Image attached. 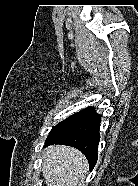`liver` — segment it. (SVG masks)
<instances>
[{
	"mask_svg": "<svg viewBox=\"0 0 138 186\" xmlns=\"http://www.w3.org/2000/svg\"><path fill=\"white\" fill-rule=\"evenodd\" d=\"M43 158L46 186H79L88 171L85 156L73 147L49 146L44 150Z\"/></svg>",
	"mask_w": 138,
	"mask_h": 186,
	"instance_id": "1",
	"label": "liver"
}]
</instances>
